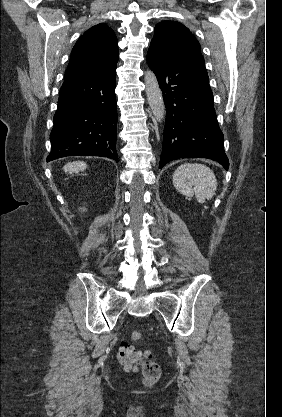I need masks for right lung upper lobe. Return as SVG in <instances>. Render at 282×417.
Instances as JSON below:
<instances>
[{
    "mask_svg": "<svg viewBox=\"0 0 282 417\" xmlns=\"http://www.w3.org/2000/svg\"><path fill=\"white\" fill-rule=\"evenodd\" d=\"M118 42L113 30L101 23L87 30L72 49L64 79L84 76L117 64Z\"/></svg>",
    "mask_w": 282,
    "mask_h": 417,
    "instance_id": "right-lung-upper-lobe-1",
    "label": "right lung upper lobe"
}]
</instances>
